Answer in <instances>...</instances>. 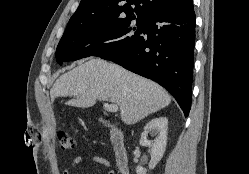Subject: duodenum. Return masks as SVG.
I'll list each match as a JSON object with an SVG mask.
<instances>
[{"label": "duodenum", "instance_id": "obj_1", "mask_svg": "<svg viewBox=\"0 0 249 174\" xmlns=\"http://www.w3.org/2000/svg\"><path fill=\"white\" fill-rule=\"evenodd\" d=\"M103 123L110 131V142L119 173L130 174L129 159L122 131L109 121H103Z\"/></svg>", "mask_w": 249, "mask_h": 174}]
</instances>
